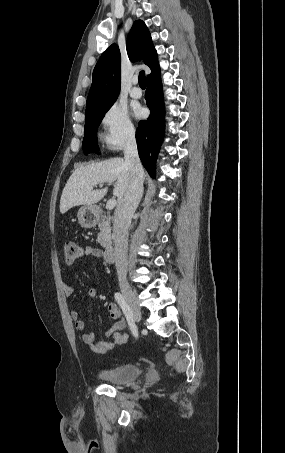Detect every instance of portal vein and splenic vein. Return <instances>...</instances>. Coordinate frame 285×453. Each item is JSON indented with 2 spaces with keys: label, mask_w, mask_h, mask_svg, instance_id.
<instances>
[{
  "label": "portal vein and splenic vein",
  "mask_w": 285,
  "mask_h": 453,
  "mask_svg": "<svg viewBox=\"0 0 285 453\" xmlns=\"http://www.w3.org/2000/svg\"><path fill=\"white\" fill-rule=\"evenodd\" d=\"M102 186H103V185H100V187H102ZM91 189H93V188H91ZM116 203H117V202H116L115 199H110V200H108V202H107V204H106V208H107L108 210H112V209L116 206Z\"/></svg>",
  "instance_id": "18ae733b"
}]
</instances>
